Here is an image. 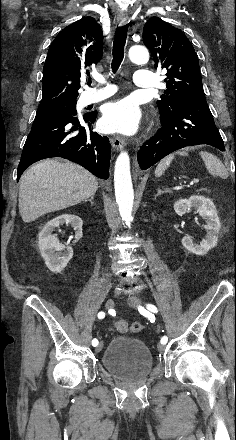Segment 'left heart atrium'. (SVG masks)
<instances>
[{
  "label": "left heart atrium",
  "instance_id": "1",
  "mask_svg": "<svg viewBox=\"0 0 236 440\" xmlns=\"http://www.w3.org/2000/svg\"><path fill=\"white\" fill-rule=\"evenodd\" d=\"M103 128L108 132L134 133L139 125L138 110L135 103L122 99L109 104L102 118Z\"/></svg>",
  "mask_w": 236,
  "mask_h": 440
}]
</instances>
